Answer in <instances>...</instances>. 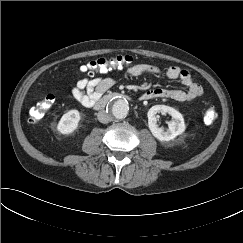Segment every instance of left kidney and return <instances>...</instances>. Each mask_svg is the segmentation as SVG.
I'll return each mask as SVG.
<instances>
[{"instance_id": "left-kidney-1", "label": "left kidney", "mask_w": 243, "mask_h": 243, "mask_svg": "<svg viewBox=\"0 0 243 243\" xmlns=\"http://www.w3.org/2000/svg\"><path fill=\"white\" fill-rule=\"evenodd\" d=\"M168 113L174 119L168 125V129L165 131L159 128L157 125V114ZM148 116V127L152 135L159 141H170L174 140L178 135L182 134L185 129L184 118L182 114L176 109L166 105H155L151 107L147 113Z\"/></svg>"}]
</instances>
